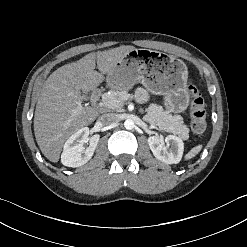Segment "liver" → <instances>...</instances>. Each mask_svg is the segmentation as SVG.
<instances>
[{
  "label": "liver",
  "mask_w": 247,
  "mask_h": 247,
  "mask_svg": "<svg viewBox=\"0 0 247 247\" xmlns=\"http://www.w3.org/2000/svg\"><path fill=\"white\" fill-rule=\"evenodd\" d=\"M136 48L124 45L92 52L55 70L44 82L34 114V133L43 155L58 162L64 142L90 125L98 110L82 105L81 91L96 89L116 63ZM99 70H95V66Z\"/></svg>",
  "instance_id": "1"
}]
</instances>
